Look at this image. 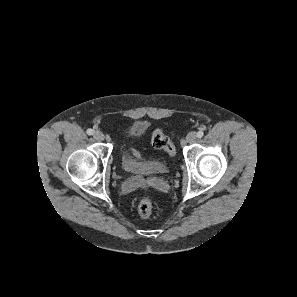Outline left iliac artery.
I'll return each mask as SVG.
<instances>
[{"mask_svg":"<svg viewBox=\"0 0 297 297\" xmlns=\"http://www.w3.org/2000/svg\"><path fill=\"white\" fill-rule=\"evenodd\" d=\"M203 135H204V132H203V131H198V132H197V137H198V138H202Z\"/></svg>","mask_w":297,"mask_h":297,"instance_id":"obj_1","label":"left iliac artery"}]
</instances>
